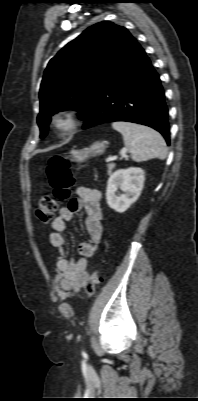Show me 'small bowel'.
<instances>
[{
	"label": "small bowel",
	"instance_id": "1",
	"mask_svg": "<svg viewBox=\"0 0 198 401\" xmlns=\"http://www.w3.org/2000/svg\"><path fill=\"white\" fill-rule=\"evenodd\" d=\"M76 192L77 198L62 207L58 216L53 219V231L49 236L50 243L57 252L54 284L59 287L61 293L78 292L86 285L89 278L88 260L94 256L103 233L100 191L79 186ZM80 211L86 213L85 227L90 241L80 243L78 246L80 257L73 259L69 257L65 231L67 223L72 221L74 214Z\"/></svg>",
	"mask_w": 198,
	"mask_h": 401
}]
</instances>
